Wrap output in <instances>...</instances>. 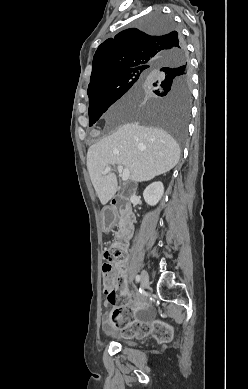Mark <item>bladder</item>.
<instances>
[{
    "instance_id": "1",
    "label": "bladder",
    "mask_w": 248,
    "mask_h": 389,
    "mask_svg": "<svg viewBox=\"0 0 248 389\" xmlns=\"http://www.w3.org/2000/svg\"><path fill=\"white\" fill-rule=\"evenodd\" d=\"M132 336V335H131ZM122 343L126 344V345H129V346H132L134 345V342L131 340V339H124L122 341Z\"/></svg>"
}]
</instances>
